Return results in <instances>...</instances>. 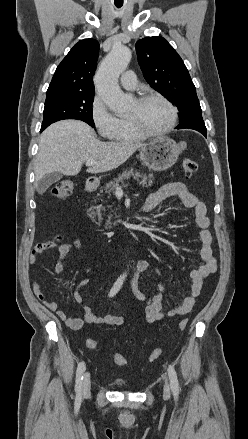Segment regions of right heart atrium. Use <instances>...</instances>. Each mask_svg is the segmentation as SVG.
Instances as JSON below:
<instances>
[{"mask_svg":"<svg viewBox=\"0 0 248 439\" xmlns=\"http://www.w3.org/2000/svg\"><path fill=\"white\" fill-rule=\"evenodd\" d=\"M91 118L99 135L105 139H111L119 127V118L110 111L100 96H95L92 101Z\"/></svg>","mask_w":248,"mask_h":439,"instance_id":"right-heart-atrium-1","label":"right heart atrium"}]
</instances>
